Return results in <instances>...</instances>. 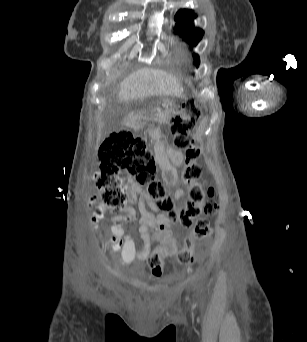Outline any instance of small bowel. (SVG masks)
I'll return each mask as SVG.
<instances>
[{
	"label": "small bowel",
	"instance_id": "obj_1",
	"mask_svg": "<svg viewBox=\"0 0 307 342\" xmlns=\"http://www.w3.org/2000/svg\"><path fill=\"white\" fill-rule=\"evenodd\" d=\"M182 161V152L174 148H170L167 155L160 156L159 162L162 169L163 178L168 185L175 186L179 183L175 166L180 165ZM130 181L132 183L133 194L140 195L138 208L140 213L139 222L141 224L140 234L143 240V246L138 249L136 247L135 240L126 233L125 228L121 223V219H116L111 227L112 235L108 240V246L112 254L120 252V263L123 266L131 264L135 259L145 260L147 255H150V253L144 252V240L147 237L148 229H151L152 225H170L164 214L160 213L157 217H155L152 213L146 210V203H149L154 207L152 200L144 193L139 185H137L132 179H130ZM184 195L185 191L179 189L175 193V199L179 200ZM96 200L97 196L92 197L89 202V206H91ZM127 212L133 214L135 218V213L132 209L129 208ZM102 215V209H98L91 215L90 218L94 229L97 231ZM123 220L129 221L125 218H123Z\"/></svg>",
	"mask_w": 307,
	"mask_h": 342
}]
</instances>
